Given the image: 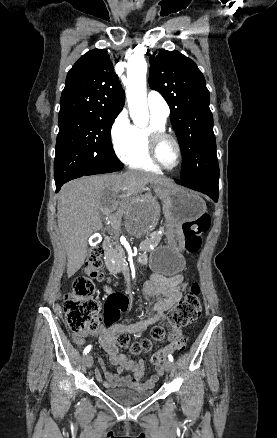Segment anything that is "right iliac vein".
Masks as SVG:
<instances>
[{
    "label": "right iliac vein",
    "instance_id": "obj_1",
    "mask_svg": "<svg viewBox=\"0 0 277 438\" xmlns=\"http://www.w3.org/2000/svg\"><path fill=\"white\" fill-rule=\"evenodd\" d=\"M85 364H86L87 368H91L92 367V365H93V356H92V354L86 355Z\"/></svg>",
    "mask_w": 277,
    "mask_h": 438
}]
</instances>
